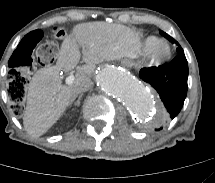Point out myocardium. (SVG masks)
<instances>
[{"label":"myocardium","mask_w":215,"mask_h":183,"mask_svg":"<svg viewBox=\"0 0 215 183\" xmlns=\"http://www.w3.org/2000/svg\"><path fill=\"white\" fill-rule=\"evenodd\" d=\"M172 56L171 46L166 42H160L149 52V60L152 65L158 66L169 61Z\"/></svg>","instance_id":"1"}]
</instances>
